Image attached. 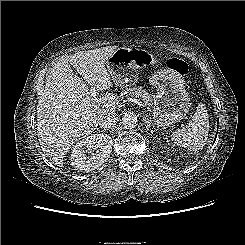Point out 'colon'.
Masks as SVG:
<instances>
[{"instance_id":"5ec220e1","label":"colon","mask_w":245,"mask_h":245,"mask_svg":"<svg viewBox=\"0 0 245 245\" xmlns=\"http://www.w3.org/2000/svg\"><path fill=\"white\" fill-rule=\"evenodd\" d=\"M167 65L171 70L183 76L186 75L189 70L187 63L177 58L170 59Z\"/></svg>"}]
</instances>
